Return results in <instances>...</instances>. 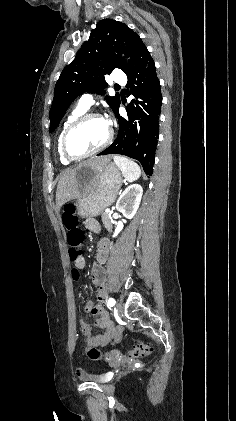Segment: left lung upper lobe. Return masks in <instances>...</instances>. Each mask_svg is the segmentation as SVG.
I'll use <instances>...</instances> for the list:
<instances>
[{
	"label": "left lung upper lobe",
	"mask_w": 236,
	"mask_h": 421,
	"mask_svg": "<svg viewBox=\"0 0 236 421\" xmlns=\"http://www.w3.org/2000/svg\"><path fill=\"white\" fill-rule=\"evenodd\" d=\"M142 44L144 43L141 38L125 23L112 19L99 21L75 59L63 69L55 85L49 113V132L57 128L67 108L77 96L84 92L105 94V75L115 68L125 72ZM121 53L130 57L129 64L122 58ZM106 100L115 113L121 103L120 97L107 96Z\"/></svg>",
	"instance_id": "1"
}]
</instances>
